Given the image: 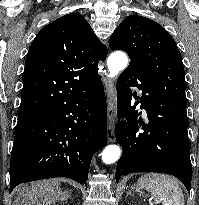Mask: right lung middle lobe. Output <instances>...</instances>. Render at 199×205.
<instances>
[{
    "label": "right lung middle lobe",
    "instance_id": "1",
    "mask_svg": "<svg viewBox=\"0 0 199 205\" xmlns=\"http://www.w3.org/2000/svg\"><path fill=\"white\" fill-rule=\"evenodd\" d=\"M26 121H28V120H18L17 125L23 124Z\"/></svg>",
    "mask_w": 199,
    "mask_h": 205
}]
</instances>
